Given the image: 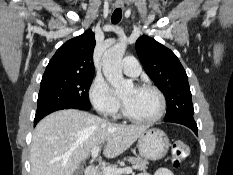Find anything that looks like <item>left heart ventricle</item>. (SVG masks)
<instances>
[{"label":"left heart ventricle","mask_w":233,"mask_h":175,"mask_svg":"<svg viewBox=\"0 0 233 175\" xmlns=\"http://www.w3.org/2000/svg\"><path fill=\"white\" fill-rule=\"evenodd\" d=\"M121 99L131 115L137 118H150L159 109V100L156 94L147 89L129 87L121 95Z\"/></svg>","instance_id":"1"}]
</instances>
